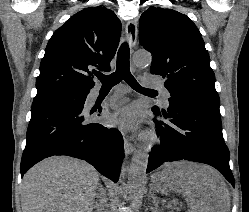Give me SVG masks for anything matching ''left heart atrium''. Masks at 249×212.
Segmentation results:
<instances>
[{
    "mask_svg": "<svg viewBox=\"0 0 249 212\" xmlns=\"http://www.w3.org/2000/svg\"><path fill=\"white\" fill-rule=\"evenodd\" d=\"M111 122L120 128L135 130L140 122L139 110L135 105L124 107L112 115Z\"/></svg>",
    "mask_w": 249,
    "mask_h": 212,
    "instance_id": "39dd6f15",
    "label": "left heart atrium"
}]
</instances>
